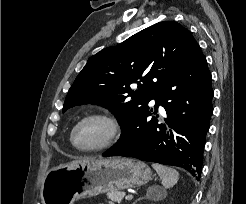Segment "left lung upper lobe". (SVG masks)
Instances as JSON below:
<instances>
[{"mask_svg": "<svg viewBox=\"0 0 246 204\" xmlns=\"http://www.w3.org/2000/svg\"><path fill=\"white\" fill-rule=\"evenodd\" d=\"M196 45L188 29L177 22L164 21L115 47L101 50L88 59L78 74L63 112L75 105L98 104L112 111L123 130ZM133 83L138 84L137 90L130 87Z\"/></svg>", "mask_w": 246, "mask_h": 204, "instance_id": "1", "label": "left lung upper lobe"}]
</instances>
